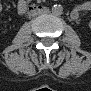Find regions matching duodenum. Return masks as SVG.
I'll return each mask as SVG.
<instances>
[{
  "label": "duodenum",
  "instance_id": "1",
  "mask_svg": "<svg viewBox=\"0 0 91 91\" xmlns=\"http://www.w3.org/2000/svg\"><path fill=\"white\" fill-rule=\"evenodd\" d=\"M47 9L46 5L42 4H35L29 7L28 12L29 13H36V12H43Z\"/></svg>",
  "mask_w": 91,
  "mask_h": 91
}]
</instances>
